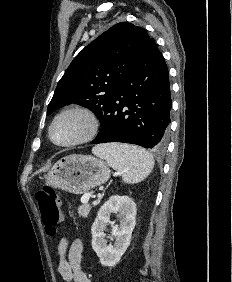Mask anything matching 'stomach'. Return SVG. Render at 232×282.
I'll return each instance as SVG.
<instances>
[{"instance_id":"obj_1","label":"stomach","mask_w":232,"mask_h":282,"mask_svg":"<svg viewBox=\"0 0 232 282\" xmlns=\"http://www.w3.org/2000/svg\"><path fill=\"white\" fill-rule=\"evenodd\" d=\"M110 169L90 155H68L57 161L45 175V184L80 195L108 181Z\"/></svg>"}]
</instances>
